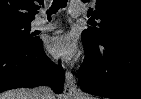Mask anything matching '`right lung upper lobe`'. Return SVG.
Instances as JSON below:
<instances>
[{"instance_id": "cb5924a9", "label": "right lung upper lobe", "mask_w": 141, "mask_h": 99, "mask_svg": "<svg viewBox=\"0 0 141 99\" xmlns=\"http://www.w3.org/2000/svg\"><path fill=\"white\" fill-rule=\"evenodd\" d=\"M37 3L42 4L43 0H0V22L32 21Z\"/></svg>"}]
</instances>
